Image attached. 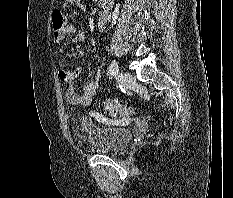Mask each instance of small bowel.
Instances as JSON below:
<instances>
[{"mask_svg":"<svg viewBox=\"0 0 233 198\" xmlns=\"http://www.w3.org/2000/svg\"><path fill=\"white\" fill-rule=\"evenodd\" d=\"M98 27L101 31L105 28V21L101 18L98 22ZM72 36L73 41L79 42L84 40L86 36V30L83 25H65V27L59 31L53 33V40L55 43L60 44L67 36ZM59 77L66 84V101L73 105L87 106L90 105L93 97L98 91L100 85V77L102 75L101 69H97L93 78L84 86L82 94H78L74 89V82L81 74V68L76 66L72 69H59ZM94 116L102 121L106 122L107 119L100 113H95Z\"/></svg>","mask_w":233,"mask_h":198,"instance_id":"small-bowel-1","label":"small bowel"}]
</instances>
